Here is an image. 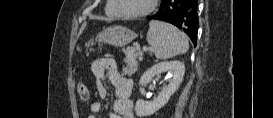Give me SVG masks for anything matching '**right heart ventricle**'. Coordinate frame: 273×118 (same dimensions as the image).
<instances>
[{
    "label": "right heart ventricle",
    "instance_id": "1",
    "mask_svg": "<svg viewBox=\"0 0 273 118\" xmlns=\"http://www.w3.org/2000/svg\"><path fill=\"white\" fill-rule=\"evenodd\" d=\"M105 13L108 16H112V17L120 16L119 12L117 11V9L114 6V1L113 0H108L107 1V4L105 6Z\"/></svg>",
    "mask_w": 273,
    "mask_h": 118
}]
</instances>
